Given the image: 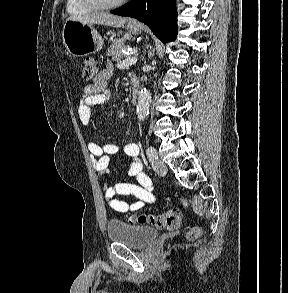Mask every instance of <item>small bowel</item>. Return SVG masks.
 <instances>
[{
	"mask_svg": "<svg viewBox=\"0 0 288 293\" xmlns=\"http://www.w3.org/2000/svg\"><path fill=\"white\" fill-rule=\"evenodd\" d=\"M113 72L111 63H107L101 70L93 84L85 86L80 94L78 116L81 123L87 126L92 117V107L106 103L110 97L107 81ZM89 153L95 158V169L104 184L103 195L110 208L117 212L137 211L146 204L155 200L153 185L149 176L144 172L143 165L138 159L139 147L136 143H127L123 147L125 155L129 159L127 175L136 179L137 184L121 182L109 185V161L110 156L118 153L119 146L113 143L98 144L90 141L87 144ZM117 195L134 196L136 201L128 204L116 198Z\"/></svg>",
	"mask_w": 288,
	"mask_h": 293,
	"instance_id": "1",
	"label": "small bowel"
}]
</instances>
